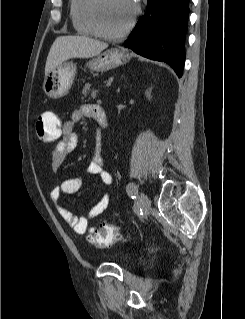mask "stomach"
Segmentation results:
<instances>
[{"mask_svg": "<svg viewBox=\"0 0 245 319\" xmlns=\"http://www.w3.org/2000/svg\"><path fill=\"white\" fill-rule=\"evenodd\" d=\"M130 59V55L121 49H110L87 63L95 71L108 70L122 65ZM76 75L73 62H63L45 75L43 90L52 99H59L69 92Z\"/></svg>", "mask_w": 245, "mask_h": 319, "instance_id": "0dacf381", "label": "stomach"}]
</instances>
